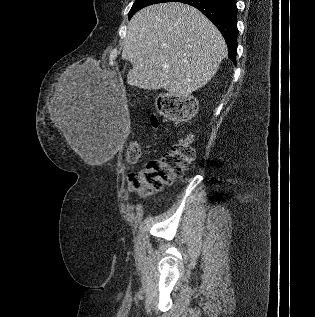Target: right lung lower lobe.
I'll use <instances>...</instances> for the list:
<instances>
[{
	"label": "right lung lower lobe",
	"mask_w": 315,
	"mask_h": 317,
	"mask_svg": "<svg viewBox=\"0 0 315 317\" xmlns=\"http://www.w3.org/2000/svg\"><path fill=\"white\" fill-rule=\"evenodd\" d=\"M199 9L221 32L228 57L236 63L237 54V8L234 0H177Z\"/></svg>",
	"instance_id": "obj_1"
}]
</instances>
